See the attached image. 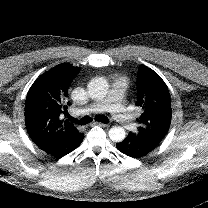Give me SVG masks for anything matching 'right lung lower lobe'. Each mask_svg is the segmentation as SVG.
<instances>
[{"label":"right lung lower lobe","mask_w":208,"mask_h":208,"mask_svg":"<svg viewBox=\"0 0 208 208\" xmlns=\"http://www.w3.org/2000/svg\"><path fill=\"white\" fill-rule=\"evenodd\" d=\"M83 138L84 134L80 133L68 141H65L61 144L55 145L47 149L46 152L58 157L64 156L77 148L83 141Z\"/></svg>","instance_id":"98d812e1"}]
</instances>
